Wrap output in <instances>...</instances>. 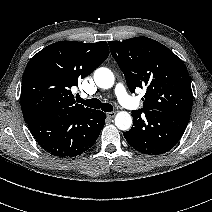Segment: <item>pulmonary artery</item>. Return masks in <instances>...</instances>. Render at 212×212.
I'll use <instances>...</instances> for the list:
<instances>
[{
  "mask_svg": "<svg viewBox=\"0 0 212 212\" xmlns=\"http://www.w3.org/2000/svg\"><path fill=\"white\" fill-rule=\"evenodd\" d=\"M115 96L117 97L119 103L128 109H133L136 107V102L134 99L127 93L123 84L118 83L114 89Z\"/></svg>",
  "mask_w": 212,
  "mask_h": 212,
  "instance_id": "obj_1",
  "label": "pulmonary artery"
}]
</instances>
